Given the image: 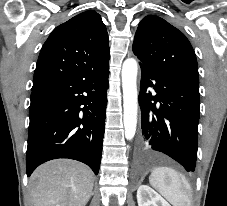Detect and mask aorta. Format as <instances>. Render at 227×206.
<instances>
[{"label": "aorta", "mask_w": 227, "mask_h": 206, "mask_svg": "<svg viewBox=\"0 0 227 206\" xmlns=\"http://www.w3.org/2000/svg\"><path fill=\"white\" fill-rule=\"evenodd\" d=\"M137 62L133 58H128L122 66V87H123V107H124V129L127 140L133 139L137 126Z\"/></svg>", "instance_id": "762f6f07"}]
</instances>
